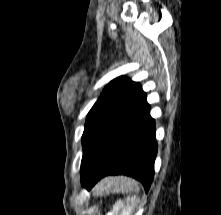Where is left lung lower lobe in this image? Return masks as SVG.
Returning a JSON list of instances; mask_svg holds the SVG:
<instances>
[{
    "instance_id": "1",
    "label": "left lung lower lobe",
    "mask_w": 221,
    "mask_h": 215,
    "mask_svg": "<svg viewBox=\"0 0 221 215\" xmlns=\"http://www.w3.org/2000/svg\"><path fill=\"white\" fill-rule=\"evenodd\" d=\"M157 154L155 121L143 94L112 124L89 172L81 179L90 190L107 175H127L140 181L148 192Z\"/></svg>"
}]
</instances>
